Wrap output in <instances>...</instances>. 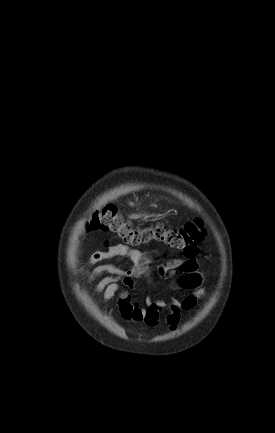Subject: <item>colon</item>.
I'll return each instance as SVG.
<instances>
[{
  "label": "colon",
  "mask_w": 275,
  "mask_h": 433,
  "mask_svg": "<svg viewBox=\"0 0 275 433\" xmlns=\"http://www.w3.org/2000/svg\"><path fill=\"white\" fill-rule=\"evenodd\" d=\"M86 228L88 231L112 233L130 246L160 242L184 257H192L197 253V245L205 235L199 220L188 222L181 227H170L162 222L148 227H137L120 215L115 205L96 210Z\"/></svg>",
  "instance_id": "1"
}]
</instances>
